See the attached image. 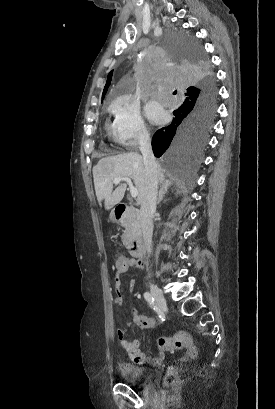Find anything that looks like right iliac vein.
Masks as SVG:
<instances>
[{"instance_id": "1", "label": "right iliac vein", "mask_w": 275, "mask_h": 409, "mask_svg": "<svg viewBox=\"0 0 275 409\" xmlns=\"http://www.w3.org/2000/svg\"><path fill=\"white\" fill-rule=\"evenodd\" d=\"M150 289H151V293L154 296V299L156 300L159 308L165 309L167 305H166V299H165L163 292L155 284H150Z\"/></svg>"}]
</instances>
